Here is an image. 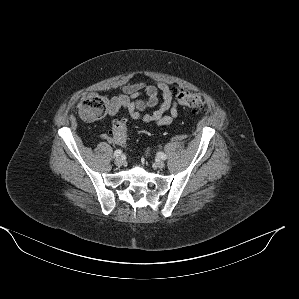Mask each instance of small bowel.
I'll list each match as a JSON object with an SVG mask.
<instances>
[{
    "label": "small bowel",
    "instance_id": "obj_1",
    "mask_svg": "<svg viewBox=\"0 0 299 299\" xmlns=\"http://www.w3.org/2000/svg\"><path fill=\"white\" fill-rule=\"evenodd\" d=\"M162 102L151 114H143L148 108H153L159 103V95ZM176 91L167 83L159 81L155 84H147L143 81L125 84L122 87V94L114 96L109 101L108 115L115 116L120 109H125L132 120L157 126H169L179 116L178 103L174 96ZM146 95V99H141ZM105 141L118 143L110 133H103L101 136Z\"/></svg>",
    "mask_w": 299,
    "mask_h": 299
}]
</instances>
